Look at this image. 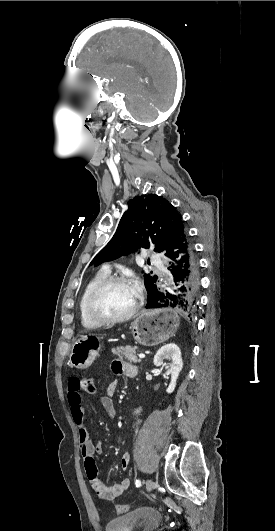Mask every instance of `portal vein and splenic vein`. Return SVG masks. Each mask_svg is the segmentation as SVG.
<instances>
[{
  "label": "portal vein and splenic vein",
  "mask_w": 275,
  "mask_h": 531,
  "mask_svg": "<svg viewBox=\"0 0 275 531\" xmlns=\"http://www.w3.org/2000/svg\"><path fill=\"white\" fill-rule=\"evenodd\" d=\"M139 359H144L145 355H138Z\"/></svg>",
  "instance_id": "obj_1"
}]
</instances>
